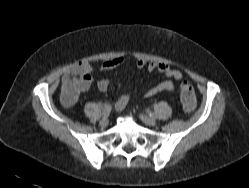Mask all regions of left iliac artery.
Here are the masks:
<instances>
[{
  "mask_svg": "<svg viewBox=\"0 0 249 188\" xmlns=\"http://www.w3.org/2000/svg\"><path fill=\"white\" fill-rule=\"evenodd\" d=\"M149 116L152 117V118L155 117L154 113H152V112H149Z\"/></svg>",
  "mask_w": 249,
  "mask_h": 188,
  "instance_id": "44dca946",
  "label": "left iliac artery"
}]
</instances>
